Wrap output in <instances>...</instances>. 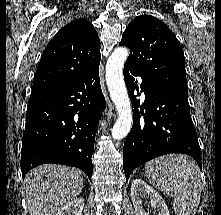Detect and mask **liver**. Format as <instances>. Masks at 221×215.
<instances>
[{
    "label": "liver",
    "mask_w": 221,
    "mask_h": 215,
    "mask_svg": "<svg viewBox=\"0 0 221 215\" xmlns=\"http://www.w3.org/2000/svg\"><path fill=\"white\" fill-rule=\"evenodd\" d=\"M83 188L82 172L57 164H44L25 178V197L30 215H56Z\"/></svg>",
    "instance_id": "obj_1"
}]
</instances>
